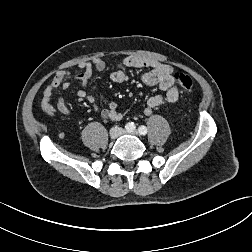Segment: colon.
<instances>
[{
  "mask_svg": "<svg viewBox=\"0 0 252 252\" xmlns=\"http://www.w3.org/2000/svg\"><path fill=\"white\" fill-rule=\"evenodd\" d=\"M175 82L184 90L191 91L193 88V80L192 78L182 72H177L174 74Z\"/></svg>",
  "mask_w": 252,
  "mask_h": 252,
  "instance_id": "obj_1",
  "label": "colon"
}]
</instances>
